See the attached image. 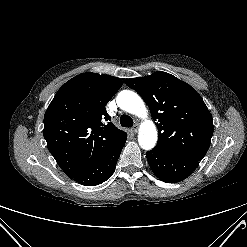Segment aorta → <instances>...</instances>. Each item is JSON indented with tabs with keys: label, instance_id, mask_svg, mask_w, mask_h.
Returning a JSON list of instances; mask_svg holds the SVG:
<instances>
[{
	"label": "aorta",
	"instance_id": "aorta-1",
	"mask_svg": "<svg viewBox=\"0 0 247 247\" xmlns=\"http://www.w3.org/2000/svg\"><path fill=\"white\" fill-rule=\"evenodd\" d=\"M117 105L124 111L145 118L147 109L142 98L135 92L123 90L117 95ZM158 134L155 124L145 120L139 129L138 142L142 149L150 150L157 142Z\"/></svg>",
	"mask_w": 247,
	"mask_h": 247
}]
</instances>
